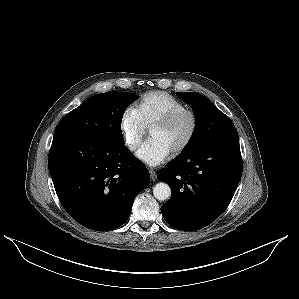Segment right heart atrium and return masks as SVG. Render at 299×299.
<instances>
[{
    "mask_svg": "<svg viewBox=\"0 0 299 299\" xmlns=\"http://www.w3.org/2000/svg\"><path fill=\"white\" fill-rule=\"evenodd\" d=\"M120 132L124 144L130 151H135L141 144L146 127L136 109L128 107L120 119Z\"/></svg>",
    "mask_w": 299,
    "mask_h": 299,
    "instance_id": "1",
    "label": "right heart atrium"
}]
</instances>
